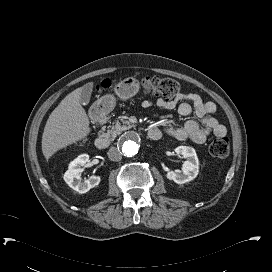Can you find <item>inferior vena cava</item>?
Returning a JSON list of instances; mask_svg holds the SVG:
<instances>
[{"label": "inferior vena cava", "instance_id": "602c4592", "mask_svg": "<svg viewBox=\"0 0 272 272\" xmlns=\"http://www.w3.org/2000/svg\"><path fill=\"white\" fill-rule=\"evenodd\" d=\"M107 154L111 161H120L122 159V154L116 147H111Z\"/></svg>", "mask_w": 272, "mask_h": 272}]
</instances>
